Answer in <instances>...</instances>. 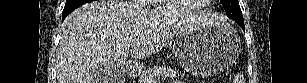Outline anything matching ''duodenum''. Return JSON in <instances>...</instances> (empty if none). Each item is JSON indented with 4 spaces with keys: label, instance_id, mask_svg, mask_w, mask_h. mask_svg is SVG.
<instances>
[{
    "label": "duodenum",
    "instance_id": "duodenum-1",
    "mask_svg": "<svg viewBox=\"0 0 307 83\" xmlns=\"http://www.w3.org/2000/svg\"><path fill=\"white\" fill-rule=\"evenodd\" d=\"M127 72H128V74H130V75L136 74V70L133 69L132 66H129V67L127 68Z\"/></svg>",
    "mask_w": 307,
    "mask_h": 83
}]
</instances>
